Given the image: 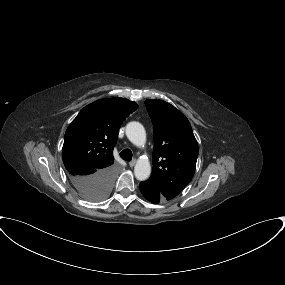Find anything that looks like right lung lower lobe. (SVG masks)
Instances as JSON below:
<instances>
[{"label":"right lung lower lobe","mask_w":285,"mask_h":285,"mask_svg":"<svg viewBox=\"0 0 285 285\" xmlns=\"http://www.w3.org/2000/svg\"><path fill=\"white\" fill-rule=\"evenodd\" d=\"M115 176L114 166L104 168L91 174L69 175L70 181L82 197L93 193H109Z\"/></svg>","instance_id":"1"}]
</instances>
